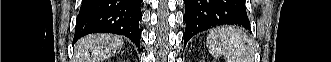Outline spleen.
Listing matches in <instances>:
<instances>
[{
  "mask_svg": "<svg viewBox=\"0 0 331 62\" xmlns=\"http://www.w3.org/2000/svg\"><path fill=\"white\" fill-rule=\"evenodd\" d=\"M207 47L214 58L226 62H252L253 47L249 36L235 26L216 28L207 36Z\"/></svg>",
  "mask_w": 331,
  "mask_h": 62,
  "instance_id": "1",
  "label": "spleen"
}]
</instances>
